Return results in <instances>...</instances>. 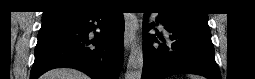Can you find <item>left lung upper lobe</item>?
Here are the masks:
<instances>
[{
  "label": "left lung upper lobe",
  "instance_id": "5c2ea615",
  "mask_svg": "<svg viewBox=\"0 0 255 79\" xmlns=\"http://www.w3.org/2000/svg\"><path fill=\"white\" fill-rule=\"evenodd\" d=\"M159 9L165 10L175 17L191 18L208 22L207 14L197 13L194 11H183L180 2L174 0L160 1Z\"/></svg>",
  "mask_w": 255,
  "mask_h": 79
}]
</instances>
